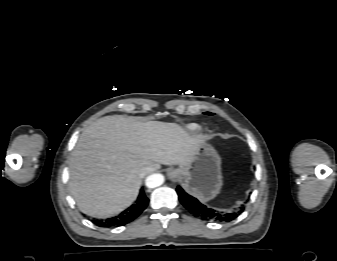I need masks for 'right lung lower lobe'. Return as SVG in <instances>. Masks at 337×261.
Masks as SVG:
<instances>
[{
    "label": "right lung lower lobe",
    "mask_w": 337,
    "mask_h": 261,
    "mask_svg": "<svg viewBox=\"0 0 337 261\" xmlns=\"http://www.w3.org/2000/svg\"><path fill=\"white\" fill-rule=\"evenodd\" d=\"M149 199L146 197L143 189L134 204L128 209L120 213L118 216L108 218L106 220H92L94 224L104 227H116L128 224L137 218L148 205Z\"/></svg>",
    "instance_id": "obj_1"
}]
</instances>
